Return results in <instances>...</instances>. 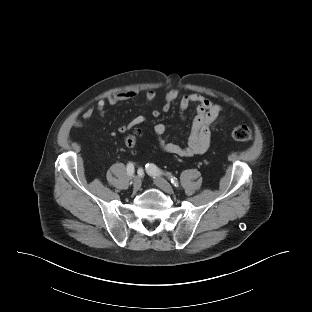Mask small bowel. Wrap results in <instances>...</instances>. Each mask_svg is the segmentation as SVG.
<instances>
[{"label": "small bowel", "instance_id": "1", "mask_svg": "<svg viewBox=\"0 0 312 312\" xmlns=\"http://www.w3.org/2000/svg\"><path fill=\"white\" fill-rule=\"evenodd\" d=\"M138 95L137 91H125L108 97L106 100H99L94 107H89L82 113L84 119H90L94 112H98L101 116L105 114L107 104L116 105L120 102L134 99ZM156 92L152 89L146 91L145 99L148 102L154 101ZM179 101V114L184 118L185 111L190 105H195L196 115L192 121L190 133L186 145H180L175 142H168L164 139L166 126L157 123L154 126V133L157 137L159 147L166 153L177 157L187 158L206 152L211 143V134L216 124L221 120L223 109L219 104L214 103L209 98L199 93H187L180 96L178 90L170 89L164 99L162 112L170 110L172 104ZM161 111L154 109L152 116L157 118ZM146 118L143 115H137L129 123L119 126L118 131L125 134L131 129L145 123Z\"/></svg>", "mask_w": 312, "mask_h": 312}]
</instances>
